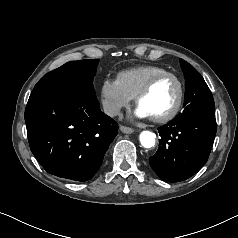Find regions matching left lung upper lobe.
Instances as JSON below:
<instances>
[{
    "instance_id": "obj_1",
    "label": "left lung upper lobe",
    "mask_w": 238,
    "mask_h": 238,
    "mask_svg": "<svg viewBox=\"0 0 238 238\" xmlns=\"http://www.w3.org/2000/svg\"><path fill=\"white\" fill-rule=\"evenodd\" d=\"M185 76L184 110L178 117L215 113L212 93L202 76L189 63L180 59Z\"/></svg>"
}]
</instances>
